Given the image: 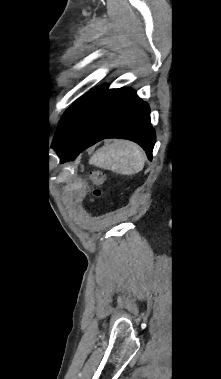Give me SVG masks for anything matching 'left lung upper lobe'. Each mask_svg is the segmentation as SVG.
Masks as SVG:
<instances>
[{
    "label": "left lung upper lobe",
    "instance_id": "1",
    "mask_svg": "<svg viewBox=\"0 0 221 379\" xmlns=\"http://www.w3.org/2000/svg\"><path fill=\"white\" fill-rule=\"evenodd\" d=\"M106 89L107 86H102L84 95L83 97L79 98L75 103H73L63 114L52 143V146L56 150V152L72 135L78 123L95 105V103L106 91Z\"/></svg>",
    "mask_w": 221,
    "mask_h": 379
}]
</instances>
